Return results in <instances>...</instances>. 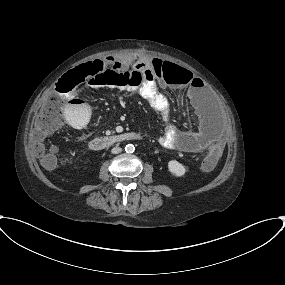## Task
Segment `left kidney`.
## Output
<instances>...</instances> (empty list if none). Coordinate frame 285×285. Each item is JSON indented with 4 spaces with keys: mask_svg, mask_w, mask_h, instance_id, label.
Here are the masks:
<instances>
[{
    "mask_svg": "<svg viewBox=\"0 0 285 285\" xmlns=\"http://www.w3.org/2000/svg\"><path fill=\"white\" fill-rule=\"evenodd\" d=\"M168 169L169 172L176 177H181L186 172L185 167L176 160H170L168 162Z\"/></svg>",
    "mask_w": 285,
    "mask_h": 285,
    "instance_id": "obj_1",
    "label": "left kidney"
}]
</instances>
